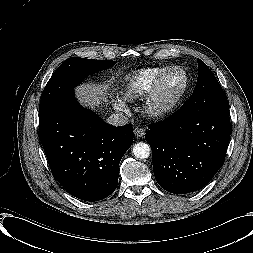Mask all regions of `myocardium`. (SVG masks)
I'll return each instance as SVG.
<instances>
[{"instance_id":"f54148a6","label":"myocardium","mask_w":253,"mask_h":253,"mask_svg":"<svg viewBox=\"0 0 253 253\" xmlns=\"http://www.w3.org/2000/svg\"><path fill=\"white\" fill-rule=\"evenodd\" d=\"M178 70L183 74L184 77V85L181 91L177 94V96L170 101L169 103L162 104L158 101V92L163 80L166 76L172 72ZM189 76L185 69L180 66H171L164 70L153 82L152 86L146 93L143 103H142V113L147 118L153 120H160L163 119L170 114H172L181 104L184 97L186 96L188 89H189Z\"/></svg>"}]
</instances>
